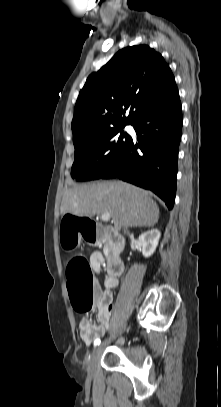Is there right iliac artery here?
<instances>
[{
	"instance_id": "obj_1",
	"label": "right iliac artery",
	"mask_w": 221,
	"mask_h": 407,
	"mask_svg": "<svg viewBox=\"0 0 221 407\" xmlns=\"http://www.w3.org/2000/svg\"><path fill=\"white\" fill-rule=\"evenodd\" d=\"M100 342H101V340H100L99 338L95 339V341H94V346L99 345Z\"/></svg>"
}]
</instances>
